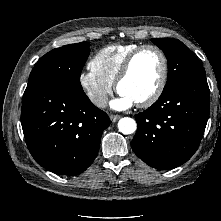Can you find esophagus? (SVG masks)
<instances>
[{
	"instance_id": "esophagus-1",
	"label": "esophagus",
	"mask_w": 221,
	"mask_h": 221,
	"mask_svg": "<svg viewBox=\"0 0 221 221\" xmlns=\"http://www.w3.org/2000/svg\"><path fill=\"white\" fill-rule=\"evenodd\" d=\"M120 118H121L120 115H113V114L110 115V120H111L112 122H116V121L119 120Z\"/></svg>"
}]
</instances>
